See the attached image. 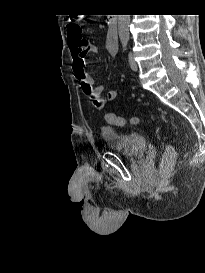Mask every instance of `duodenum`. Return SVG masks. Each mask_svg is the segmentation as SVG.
<instances>
[{"label":"duodenum","instance_id":"410a0bca","mask_svg":"<svg viewBox=\"0 0 205 273\" xmlns=\"http://www.w3.org/2000/svg\"><path fill=\"white\" fill-rule=\"evenodd\" d=\"M107 26L112 31V33L115 34V38H117L116 35V24H117V17L115 15H110L107 17L106 20Z\"/></svg>","mask_w":205,"mask_h":273}]
</instances>
